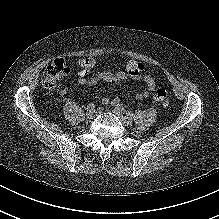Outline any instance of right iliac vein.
Returning <instances> with one entry per match:
<instances>
[{"label": "right iliac vein", "instance_id": "63e3f726", "mask_svg": "<svg viewBox=\"0 0 219 219\" xmlns=\"http://www.w3.org/2000/svg\"><path fill=\"white\" fill-rule=\"evenodd\" d=\"M86 117H87L88 119H94V118H95V112H94V111H88V112L86 113Z\"/></svg>", "mask_w": 219, "mask_h": 219}]
</instances>
